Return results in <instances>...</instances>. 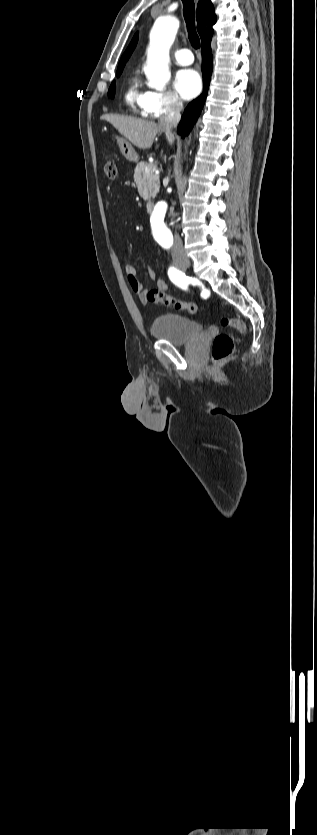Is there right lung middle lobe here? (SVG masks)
Returning a JSON list of instances; mask_svg holds the SVG:
<instances>
[{"instance_id": "right-lung-middle-lobe-1", "label": "right lung middle lobe", "mask_w": 317, "mask_h": 835, "mask_svg": "<svg viewBox=\"0 0 317 835\" xmlns=\"http://www.w3.org/2000/svg\"><path fill=\"white\" fill-rule=\"evenodd\" d=\"M124 68V64L119 65L117 69V76H119ZM115 93V82H113L108 90V97L113 98Z\"/></svg>"}]
</instances>
